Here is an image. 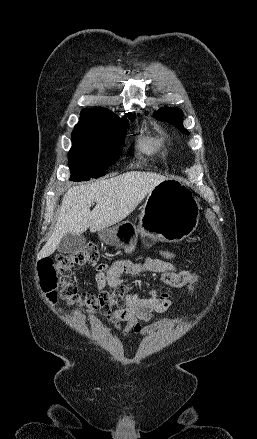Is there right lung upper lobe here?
Masks as SVG:
<instances>
[{
    "label": "right lung upper lobe",
    "instance_id": "right-lung-upper-lobe-1",
    "mask_svg": "<svg viewBox=\"0 0 257 439\" xmlns=\"http://www.w3.org/2000/svg\"><path fill=\"white\" fill-rule=\"evenodd\" d=\"M131 114V113H129ZM125 118V117H124ZM122 118V119H124ZM80 119H101L106 121H119L122 120L116 116L113 112L106 108H88L81 112Z\"/></svg>",
    "mask_w": 257,
    "mask_h": 439
}]
</instances>
